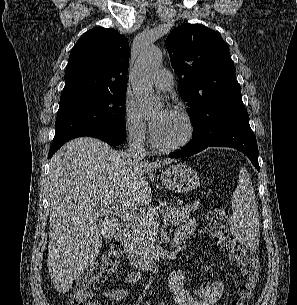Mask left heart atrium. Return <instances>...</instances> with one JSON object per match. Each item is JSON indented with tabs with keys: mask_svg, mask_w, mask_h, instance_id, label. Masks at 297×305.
Instances as JSON below:
<instances>
[{
	"mask_svg": "<svg viewBox=\"0 0 297 305\" xmlns=\"http://www.w3.org/2000/svg\"><path fill=\"white\" fill-rule=\"evenodd\" d=\"M169 114L168 110H163L151 121L152 132L157 131L162 126Z\"/></svg>",
	"mask_w": 297,
	"mask_h": 305,
	"instance_id": "left-heart-atrium-1",
	"label": "left heart atrium"
}]
</instances>
